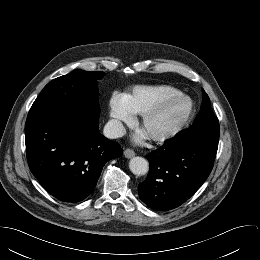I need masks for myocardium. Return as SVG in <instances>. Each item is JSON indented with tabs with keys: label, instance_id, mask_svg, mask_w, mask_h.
Here are the masks:
<instances>
[{
	"label": "myocardium",
	"instance_id": "f54148a6",
	"mask_svg": "<svg viewBox=\"0 0 260 260\" xmlns=\"http://www.w3.org/2000/svg\"><path fill=\"white\" fill-rule=\"evenodd\" d=\"M177 99H182L186 102V110L182 118L171 128L159 132V133H153L149 134V137L151 140L155 142H165L168 141L175 136H177L179 133L183 131V129L187 126L189 121L191 120L194 111H195V103L192 100V98L182 92L170 95L168 97H165L155 103L152 107L147 109L145 112L142 113L141 115V120H140V125L144 129L145 125L147 122L154 116L156 115L164 106L169 104L170 102L177 100Z\"/></svg>",
	"mask_w": 260,
	"mask_h": 260
}]
</instances>
